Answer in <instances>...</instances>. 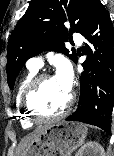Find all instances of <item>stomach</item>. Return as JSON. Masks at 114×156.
Segmentation results:
<instances>
[{
	"label": "stomach",
	"instance_id": "0dacf381",
	"mask_svg": "<svg viewBox=\"0 0 114 156\" xmlns=\"http://www.w3.org/2000/svg\"><path fill=\"white\" fill-rule=\"evenodd\" d=\"M87 128L76 122L49 125L30 145L25 156H70L84 143Z\"/></svg>",
	"mask_w": 114,
	"mask_h": 156
}]
</instances>
